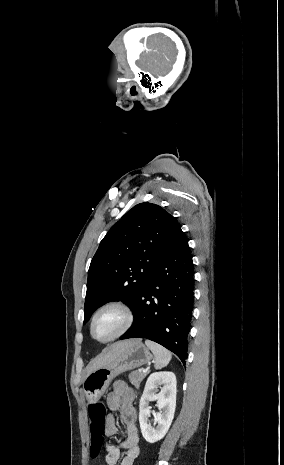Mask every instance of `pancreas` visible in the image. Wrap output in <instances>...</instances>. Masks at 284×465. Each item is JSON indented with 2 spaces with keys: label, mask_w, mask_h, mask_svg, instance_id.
I'll use <instances>...</instances> for the list:
<instances>
[{
  "label": "pancreas",
  "mask_w": 284,
  "mask_h": 465,
  "mask_svg": "<svg viewBox=\"0 0 284 465\" xmlns=\"http://www.w3.org/2000/svg\"><path fill=\"white\" fill-rule=\"evenodd\" d=\"M146 375L148 373H139V371H132L129 375L130 383L136 387V389H139L141 381L145 379Z\"/></svg>",
  "instance_id": "cf45deb5"
}]
</instances>
